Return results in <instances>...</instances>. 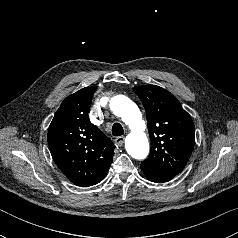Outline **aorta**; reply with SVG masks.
Segmentation results:
<instances>
[{"label":"aorta","mask_w":238,"mask_h":238,"mask_svg":"<svg viewBox=\"0 0 238 238\" xmlns=\"http://www.w3.org/2000/svg\"><path fill=\"white\" fill-rule=\"evenodd\" d=\"M110 109L129 126L130 134L126 137L125 148L135 159H144L149 152V143L145 134V123L139 108L126 96L117 95L110 100Z\"/></svg>","instance_id":"obj_1"}]
</instances>
